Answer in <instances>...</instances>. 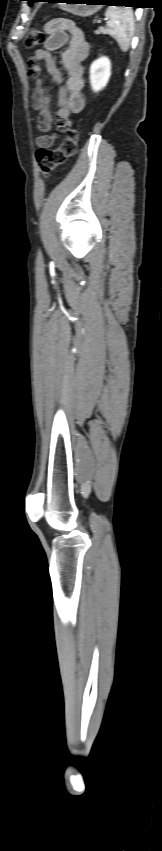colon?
<instances>
[{
    "label": "colon",
    "instance_id": "1",
    "mask_svg": "<svg viewBox=\"0 0 162 851\" xmlns=\"http://www.w3.org/2000/svg\"><path fill=\"white\" fill-rule=\"evenodd\" d=\"M44 41V32L33 28L27 33L25 45L28 48H33L42 44ZM62 129L65 132V137L57 148L40 147L36 152V159L44 177H47L57 166L64 164L77 150V130L67 126Z\"/></svg>",
    "mask_w": 162,
    "mask_h": 851
}]
</instances>
